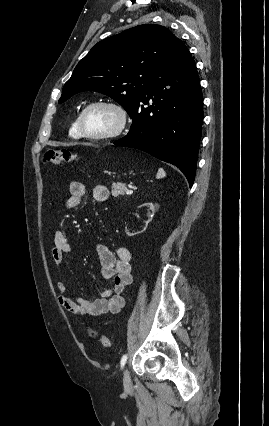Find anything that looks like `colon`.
Returning <instances> with one entry per match:
<instances>
[{
  "mask_svg": "<svg viewBox=\"0 0 269 426\" xmlns=\"http://www.w3.org/2000/svg\"><path fill=\"white\" fill-rule=\"evenodd\" d=\"M43 161L48 165H62L74 164L78 161L77 155L68 149H48L44 156ZM91 337L98 340L101 346L109 348L112 346V340L102 334H99L95 329H89Z\"/></svg>",
  "mask_w": 269,
  "mask_h": 426,
  "instance_id": "colon-1",
  "label": "colon"
}]
</instances>
